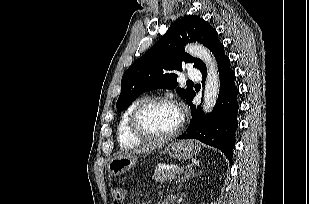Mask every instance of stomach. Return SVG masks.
I'll return each mask as SVG.
<instances>
[{
	"instance_id": "obj_1",
	"label": "stomach",
	"mask_w": 309,
	"mask_h": 204,
	"mask_svg": "<svg viewBox=\"0 0 309 204\" xmlns=\"http://www.w3.org/2000/svg\"><path fill=\"white\" fill-rule=\"evenodd\" d=\"M165 150L174 159L187 160L198 155L200 145L194 140H186L169 143ZM137 161L138 156L136 154L119 155L111 159L107 169L109 174L119 176L134 168Z\"/></svg>"
}]
</instances>
